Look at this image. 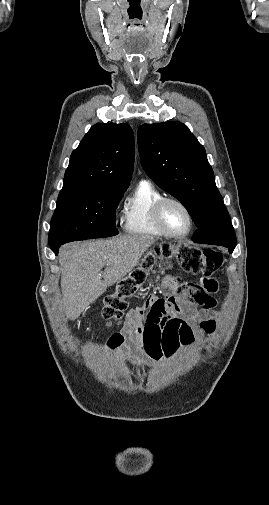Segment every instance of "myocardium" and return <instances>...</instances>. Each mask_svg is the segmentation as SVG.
<instances>
[{"mask_svg": "<svg viewBox=\"0 0 269 505\" xmlns=\"http://www.w3.org/2000/svg\"><path fill=\"white\" fill-rule=\"evenodd\" d=\"M170 202L176 203L179 206H181L185 210V212L188 216L189 226H188V229L183 233L171 232L170 230L167 229V227L165 226V224L163 222V219H162L163 208L167 203H170ZM152 216H153L154 222H155L156 226L158 227V229L163 233V235H165L167 237H172V238L186 237L191 233V231L193 230V227H194V216H193L191 209L184 201H182L181 199L176 198V197H162L159 200H157L154 203L153 208H152Z\"/></svg>", "mask_w": 269, "mask_h": 505, "instance_id": "myocardium-1", "label": "myocardium"}]
</instances>
